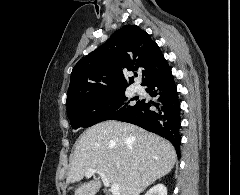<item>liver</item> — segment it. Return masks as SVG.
I'll use <instances>...</instances> for the list:
<instances>
[{
  "instance_id": "liver-1",
  "label": "liver",
  "mask_w": 240,
  "mask_h": 195,
  "mask_svg": "<svg viewBox=\"0 0 240 195\" xmlns=\"http://www.w3.org/2000/svg\"><path fill=\"white\" fill-rule=\"evenodd\" d=\"M176 151L167 139L133 123L101 121L81 133L66 183L80 181L88 169H100V177L118 183L120 195H139L147 185L171 171ZM99 177L80 183L75 195H95Z\"/></svg>"
}]
</instances>
